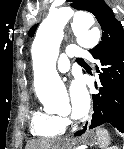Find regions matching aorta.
<instances>
[{"mask_svg": "<svg viewBox=\"0 0 124 149\" xmlns=\"http://www.w3.org/2000/svg\"><path fill=\"white\" fill-rule=\"evenodd\" d=\"M69 21L80 46L92 48L100 40V31L94 27L93 16L85 12L74 13L67 9H58L50 12L42 21L32 45L35 92L44 106L54 109H57L66 97V89L55 64L63 30Z\"/></svg>", "mask_w": 124, "mask_h": 149, "instance_id": "1", "label": "aorta"}]
</instances>
